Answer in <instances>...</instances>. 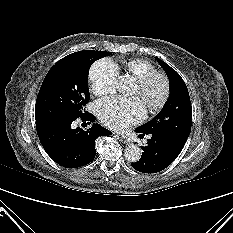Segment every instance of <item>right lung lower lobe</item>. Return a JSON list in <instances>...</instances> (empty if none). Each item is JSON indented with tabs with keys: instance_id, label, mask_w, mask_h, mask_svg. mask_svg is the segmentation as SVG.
<instances>
[{
	"instance_id": "1",
	"label": "right lung lower lobe",
	"mask_w": 233,
	"mask_h": 233,
	"mask_svg": "<svg viewBox=\"0 0 233 233\" xmlns=\"http://www.w3.org/2000/svg\"><path fill=\"white\" fill-rule=\"evenodd\" d=\"M78 118L89 124L96 119L88 112ZM75 119L36 124L40 142L47 154L66 168H77L90 163L96 154V138L112 134L98 123H94L87 131L79 127L72 129L71 124Z\"/></svg>"
}]
</instances>
